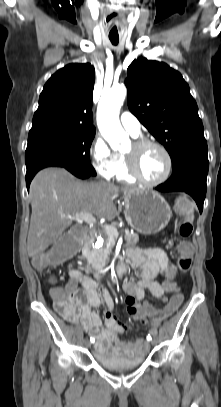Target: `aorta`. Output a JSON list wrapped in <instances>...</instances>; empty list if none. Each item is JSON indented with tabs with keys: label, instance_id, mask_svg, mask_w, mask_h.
<instances>
[{
	"label": "aorta",
	"instance_id": "aorta-1",
	"mask_svg": "<svg viewBox=\"0 0 221 407\" xmlns=\"http://www.w3.org/2000/svg\"><path fill=\"white\" fill-rule=\"evenodd\" d=\"M127 94L124 85L112 87L105 92L99 101L97 108V124L101 135L116 150L126 137L119 121V111Z\"/></svg>",
	"mask_w": 221,
	"mask_h": 407
}]
</instances>
